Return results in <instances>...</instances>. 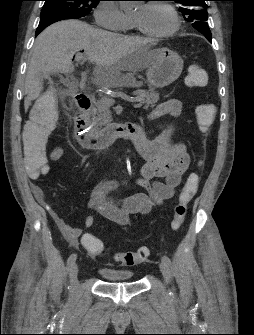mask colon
Here are the masks:
<instances>
[{
    "label": "colon",
    "instance_id": "colon-1",
    "mask_svg": "<svg viewBox=\"0 0 254 335\" xmlns=\"http://www.w3.org/2000/svg\"><path fill=\"white\" fill-rule=\"evenodd\" d=\"M206 71L199 64H191L188 68L186 84L189 87H200L207 82ZM196 117L202 132H207L213 123L216 108L212 103L200 104L196 107ZM59 113L58 100L53 94L43 97L32 113L30 121L26 124L23 132V154L20 160L23 161V172L26 178H47L48 172V151L47 137L54 129ZM200 177L193 173L188 176L183 188L178 194L173 209L171 226L174 230L182 227L187 212V206L198 190ZM84 247L91 253L99 256L105 255V247L101 240L94 236L83 239ZM148 247H140L134 251L118 252L115 261L124 266H134L145 262L150 256Z\"/></svg>",
    "mask_w": 254,
    "mask_h": 335
}]
</instances>
